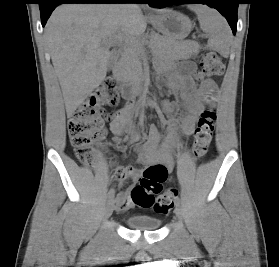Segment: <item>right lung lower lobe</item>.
I'll list each match as a JSON object with an SVG mask.
<instances>
[{
  "mask_svg": "<svg viewBox=\"0 0 279 267\" xmlns=\"http://www.w3.org/2000/svg\"><path fill=\"white\" fill-rule=\"evenodd\" d=\"M142 0H41L39 2L42 26H45L52 11L62 3H141Z\"/></svg>",
  "mask_w": 279,
  "mask_h": 267,
  "instance_id": "98d812e1",
  "label": "right lung lower lobe"
}]
</instances>
